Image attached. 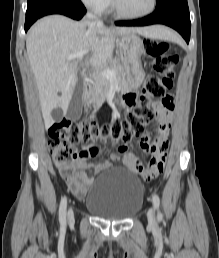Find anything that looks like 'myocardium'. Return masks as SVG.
Instances as JSON below:
<instances>
[{"mask_svg":"<svg viewBox=\"0 0 219 258\" xmlns=\"http://www.w3.org/2000/svg\"><path fill=\"white\" fill-rule=\"evenodd\" d=\"M157 0H152L151 6L148 10H146L145 12L142 13H137V14H129L124 12L121 7L119 6V3L117 0H112V7L114 12L116 13V15H118L119 17L122 18H126V19H139V18H143L146 17L148 15H150L151 13L154 12V10L156 9L157 6Z\"/></svg>","mask_w":219,"mask_h":258,"instance_id":"f54148a6","label":"myocardium"}]
</instances>
